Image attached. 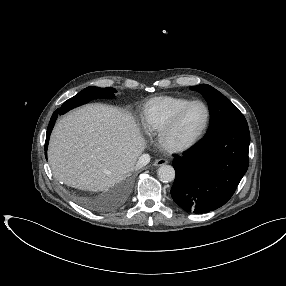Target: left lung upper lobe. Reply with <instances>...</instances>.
<instances>
[{"instance_id":"left-lung-upper-lobe-1","label":"left lung upper lobe","mask_w":286,"mask_h":286,"mask_svg":"<svg viewBox=\"0 0 286 286\" xmlns=\"http://www.w3.org/2000/svg\"><path fill=\"white\" fill-rule=\"evenodd\" d=\"M190 89L201 93L207 101L210 112V126L207 133L223 127H248L243 114L215 88L207 84H200L190 87Z\"/></svg>"}]
</instances>
